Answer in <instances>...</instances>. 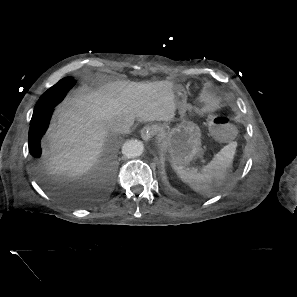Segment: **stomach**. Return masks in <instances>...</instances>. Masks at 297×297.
<instances>
[{"label": "stomach", "instance_id": "0dacf381", "mask_svg": "<svg viewBox=\"0 0 297 297\" xmlns=\"http://www.w3.org/2000/svg\"><path fill=\"white\" fill-rule=\"evenodd\" d=\"M176 100L181 105V114L185 110V94L181 86L174 87ZM159 140L164 151L169 153L171 163L184 167L203 154L201 130L195 123L183 120L170 130L159 129Z\"/></svg>", "mask_w": 297, "mask_h": 297}]
</instances>
